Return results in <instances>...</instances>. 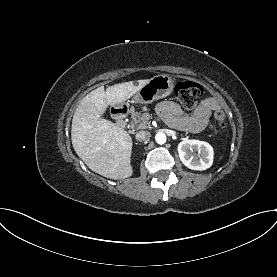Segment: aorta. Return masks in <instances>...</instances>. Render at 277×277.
I'll return each mask as SVG.
<instances>
[{"label":"aorta","mask_w":277,"mask_h":277,"mask_svg":"<svg viewBox=\"0 0 277 277\" xmlns=\"http://www.w3.org/2000/svg\"><path fill=\"white\" fill-rule=\"evenodd\" d=\"M155 140L158 144H164L166 142V135L164 133H157L155 136Z\"/></svg>","instance_id":"obj_1"}]
</instances>
